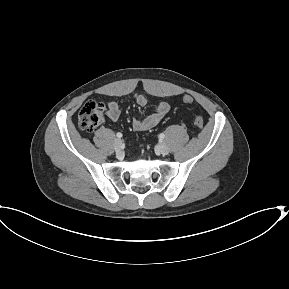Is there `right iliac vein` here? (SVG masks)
Listing matches in <instances>:
<instances>
[{
	"instance_id": "right-iliac-vein-1",
	"label": "right iliac vein",
	"mask_w": 289,
	"mask_h": 289,
	"mask_svg": "<svg viewBox=\"0 0 289 289\" xmlns=\"http://www.w3.org/2000/svg\"><path fill=\"white\" fill-rule=\"evenodd\" d=\"M114 149L116 152H121L123 150V142L120 139L115 140Z\"/></svg>"
}]
</instances>
